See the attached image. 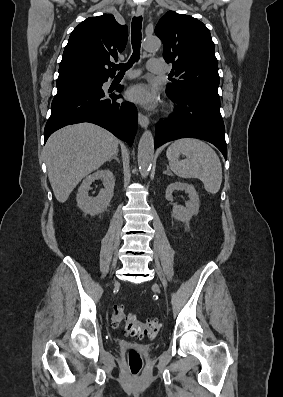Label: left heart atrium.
<instances>
[{
	"label": "left heart atrium",
	"mask_w": 283,
	"mask_h": 397,
	"mask_svg": "<svg viewBox=\"0 0 283 397\" xmlns=\"http://www.w3.org/2000/svg\"><path fill=\"white\" fill-rule=\"evenodd\" d=\"M127 100L142 105L146 108H154L157 103L155 93L145 84H136L125 92Z\"/></svg>",
	"instance_id": "1"
}]
</instances>
